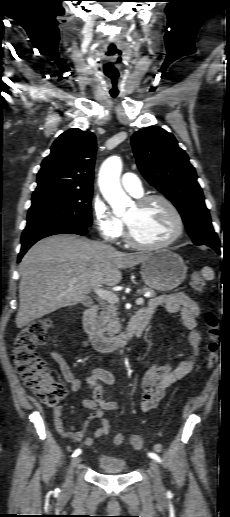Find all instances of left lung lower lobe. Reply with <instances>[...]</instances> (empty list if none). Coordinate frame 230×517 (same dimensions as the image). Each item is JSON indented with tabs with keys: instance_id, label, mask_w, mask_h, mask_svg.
<instances>
[{
	"instance_id": "left-lung-lower-lobe-1",
	"label": "left lung lower lobe",
	"mask_w": 230,
	"mask_h": 517,
	"mask_svg": "<svg viewBox=\"0 0 230 517\" xmlns=\"http://www.w3.org/2000/svg\"><path fill=\"white\" fill-rule=\"evenodd\" d=\"M206 245L213 248L218 254H220L219 243H208Z\"/></svg>"
}]
</instances>
